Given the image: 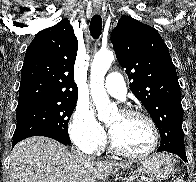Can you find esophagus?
<instances>
[{
	"label": "esophagus",
	"mask_w": 196,
	"mask_h": 182,
	"mask_svg": "<svg viewBox=\"0 0 196 182\" xmlns=\"http://www.w3.org/2000/svg\"><path fill=\"white\" fill-rule=\"evenodd\" d=\"M93 11L94 13H100L101 9L100 7H94Z\"/></svg>",
	"instance_id": "obj_1"
}]
</instances>
